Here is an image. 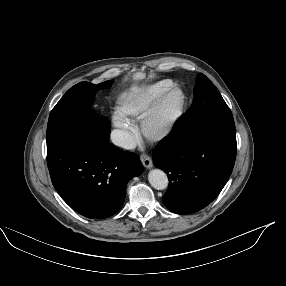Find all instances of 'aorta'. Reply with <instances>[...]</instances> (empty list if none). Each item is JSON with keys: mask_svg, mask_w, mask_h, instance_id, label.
Returning a JSON list of instances; mask_svg holds the SVG:
<instances>
[{"mask_svg": "<svg viewBox=\"0 0 286 286\" xmlns=\"http://www.w3.org/2000/svg\"><path fill=\"white\" fill-rule=\"evenodd\" d=\"M148 180L151 186L157 190H163L168 186V177L160 169H153L148 174Z\"/></svg>", "mask_w": 286, "mask_h": 286, "instance_id": "aorta-1", "label": "aorta"}]
</instances>
